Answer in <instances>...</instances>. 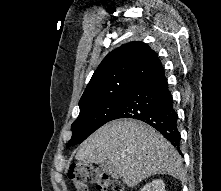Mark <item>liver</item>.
I'll return each mask as SVG.
<instances>
[{"instance_id":"obj_1","label":"liver","mask_w":221,"mask_h":191,"mask_svg":"<svg viewBox=\"0 0 221 191\" xmlns=\"http://www.w3.org/2000/svg\"><path fill=\"white\" fill-rule=\"evenodd\" d=\"M76 159L109 162L129 187L156 174L184 178L178 152L159 132L139 120L119 119L105 124L82 143Z\"/></svg>"}]
</instances>
